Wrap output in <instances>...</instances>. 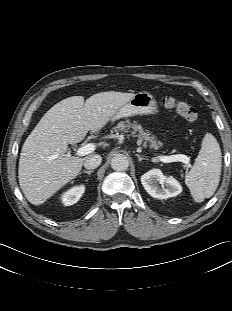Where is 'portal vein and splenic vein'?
<instances>
[{"label":"portal vein and splenic vein","mask_w":232,"mask_h":311,"mask_svg":"<svg viewBox=\"0 0 232 311\" xmlns=\"http://www.w3.org/2000/svg\"><path fill=\"white\" fill-rule=\"evenodd\" d=\"M95 150V145L92 143L86 144L78 148L76 151L77 156H85L92 153ZM159 160L164 163L170 162H183L188 164L190 162L189 157L183 154L171 155V156H159Z\"/></svg>","instance_id":"portal-vein-and-splenic-vein-1"}]
</instances>
